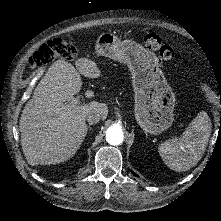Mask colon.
I'll list each match as a JSON object with an SVG mask.
<instances>
[{"label":"colon","instance_id":"obj_1","mask_svg":"<svg viewBox=\"0 0 221 221\" xmlns=\"http://www.w3.org/2000/svg\"><path fill=\"white\" fill-rule=\"evenodd\" d=\"M143 44L146 48L159 53L163 59H174L178 56L174 47L157 35L147 34L143 38ZM77 53L75 41L54 39L34 51L28 59L27 67L34 70L50 64L56 58L71 60L77 56Z\"/></svg>","mask_w":221,"mask_h":221}]
</instances>
